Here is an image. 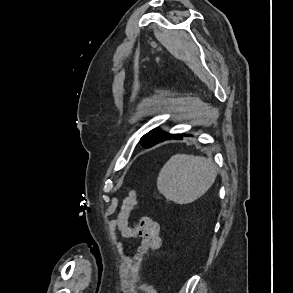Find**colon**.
I'll list each match as a JSON object with an SVG mask.
<instances>
[{
	"instance_id": "5ec220e1",
	"label": "colon",
	"mask_w": 293,
	"mask_h": 293,
	"mask_svg": "<svg viewBox=\"0 0 293 293\" xmlns=\"http://www.w3.org/2000/svg\"><path fill=\"white\" fill-rule=\"evenodd\" d=\"M138 193L130 190L124 197L117 223L120 231L127 237H140L142 239L141 246L137 252L138 262L142 261L150 252L160 247L159 226L153 219L145 217L137 224L131 226L128 218L132 210L137 204Z\"/></svg>"
}]
</instances>
